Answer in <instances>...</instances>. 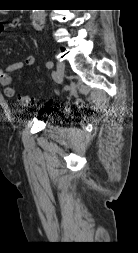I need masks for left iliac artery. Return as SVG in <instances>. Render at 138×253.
Here are the masks:
<instances>
[{
	"mask_svg": "<svg viewBox=\"0 0 138 253\" xmlns=\"http://www.w3.org/2000/svg\"><path fill=\"white\" fill-rule=\"evenodd\" d=\"M46 66L48 69H51L54 66V63L52 61H48Z\"/></svg>",
	"mask_w": 138,
	"mask_h": 253,
	"instance_id": "44dca946",
	"label": "left iliac artery"
}]
</instances>
